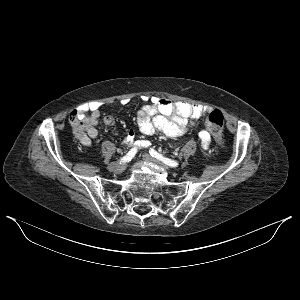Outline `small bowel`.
<instances>
[{
	"mask_svg": "<svg viewBox=\"0 0 300 300\" xmlns=\"http://www.w3.org/2000/svg\"><path fill=\"white\" fill-rule=\"evenodd\" d=\"M148 104L141 106L137 111V125L139 131L146 136L161 133L169 137H179L194 127L206 107L200 104H190L185 101H172L167 98L149 96L145 99ZM129 101L123 99L121 103L126 105ZM101 104L96 101L82 105L78 109V115L84 122V133H77L83 146H90L92 140L97 139V126L100 121ZM103 122L106 126H112L115 120L112 116H105ZM198 138L201 146L208 149L211 143L209 131H199ZM135 140L133 130H129L125 137L126 144H132ZM139 147H148L149 142L140 140L136 142Z\"/></svg>",
	"mask_w": 300,
	"mask_h": 300,
	"instance_id": "c3829d8e",
	"label": "small bowel"
}]
</instances>
